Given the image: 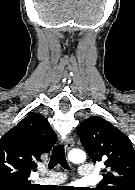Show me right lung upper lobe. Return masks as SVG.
<instances>
[{"mask_svg":"<svg viewBox=\"0 0 135 190\" xmlns=\"http://www.w3.org/2000/svg\"><path fill=\"white\" fill-rule=\"evenodd\" d=\"M56 143V135L41 114L22 119L0 139V184H30V172L43 153Z\"/></svg>","mask_w":135,"mask_h":190,"instance_id":"right-lung-upper-lobe-1","label":"right lung upper lobe"}]
</instances>
